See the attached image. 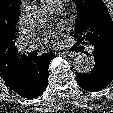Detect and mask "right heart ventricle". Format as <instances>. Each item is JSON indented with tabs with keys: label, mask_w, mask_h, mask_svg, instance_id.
I'll use <instances>...</instances> for the list:
<instances>
[{
	"label": "right heart ventricle",
	"mask_w": 113,
	"mask_h": 113,
	"mask_svg": "<svg viewBox=\"0 0 113 113\" xmlns=\"http://www.w3.org/2000/svg\"><path fill=\"white\" fill-rule=\"evenodd\" d=\"M42 3L49 9L56 4H60L61 0H42Z\"/></svg>",
	"instance_id": "obj_1"
}]
</instances>
